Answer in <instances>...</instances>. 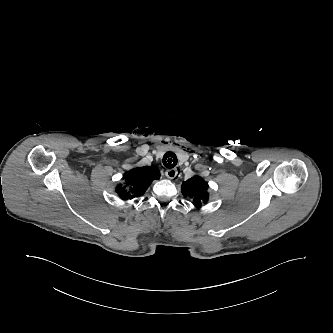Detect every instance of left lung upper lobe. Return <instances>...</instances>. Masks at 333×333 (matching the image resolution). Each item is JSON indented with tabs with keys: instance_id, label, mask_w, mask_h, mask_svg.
Listing matches in <instances>:
<instances>
[{
	"instance_id": "obj_1",
	"label": "left lung upper lobe",
	"mask_w": 333,
	"mask_h": 333,
	"mask_svg": "<svg viewBox=\"0 0 333 333\" xmlns=\"http://www.w3.org/2000/svg\"><path fill=\"white\" fill-rule=\"evenodd\" d=\"M207 189L208 183L199 176L192 177L183 182L181 186L183 196L191 198L193 204L197 207L208 201L209 194L207 193Z\"/></svg>"
}]
</instances>
